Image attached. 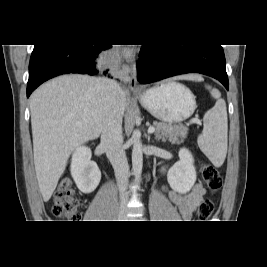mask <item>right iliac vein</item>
Returning a JSON list of instances; mask_svg holds the SVG:
<instances>
[{"label": "right iliac vein", "instance_id": "1", "mask_svg": "<svg viewBox=\"0 0 267 267\" xmlns=\"http://www.w3.org/2000/svg\"><path fill=\"white\" fill-rule=\"evenodd\" d=\"M126 218V212L120 211L118 214V219L119 220H124Z\"/></svg>", "mask_w": 267, "mask_h": 267}]
</instances>
